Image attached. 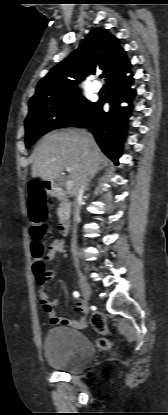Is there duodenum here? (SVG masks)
Instances as JSON below:
<instances>
[{"mask_svg": "<svg viewBox=\"0 0 168 415\" xmlns=\"http://www.w3.org/2000/svg\"><path fill=\"white\" fill-rule=\"evenodd\" d=\"M42 187L54 198L59 200L60 202H64L65 200V193L62 189H60L57 185L50 181H42ZM70 229V220L69 217L63 214L58 222V231L61 235L66 236L69 233Z\"/></svg>", "mask_w": 168, "mask_h": 415, "instance_id": "1", "label": "duodenum"}]
</instances>
